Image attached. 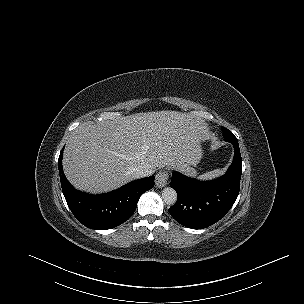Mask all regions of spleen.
<instances>
[{"mask_svg": "<svg viewBox=\"0 0 304 304\" xmlns=\"http://www.w3.org/2000/svg\"><path fill=\"white\" fill-rule=\"evenodd\" d=\"M223 172H224V170H222V169H216V170L210 172L209 174L205 175L203 178H208V179L216 178V177L222 175Z\"/></svg>", "mask_w": 304, "mask_h": 304, "instance_id": "1", "label": "spleen"}]
</instances>
